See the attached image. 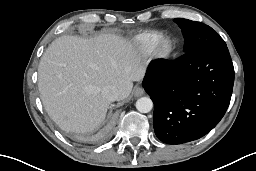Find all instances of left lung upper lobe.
<instances>
[{"label":"left lung upper lobe","mask_w":256,"mask_h":171,"mask_svg":"<svg viewBox=\"0 0 256 171\" xmlns=\"http://www.w3.org/2000/svg\"><path fill=\"white\" fill-rule=\"evenodd\" d=\"M174 21L182 29L185 39L184 52L204 45L225 44L224 40L208 25L182 18H176Z\"/></svg>","instance_id":"5c2ea615"}]
</instances>
